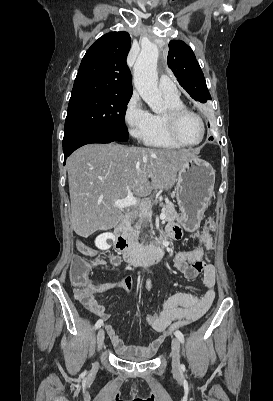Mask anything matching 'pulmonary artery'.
<instances>
[{
    "label": "pulmonary artery",
    "instance_id": "e3ab8cb5",
    "mask_svg": "<svg viewBox=\"0 0 273 401\" xmlns=\"http://www.w3.org/2000/svg\"><path fill=\"white\" fill-rule=\"evenodd\" d=\"M177 83L175 80H170L168 75L163 77V81L161 82L162 92L165 96H174L178 94L176 89Z\"/></svg>",
    "mask_w": 273,
    "mask_h": 401
}]
</instances>
